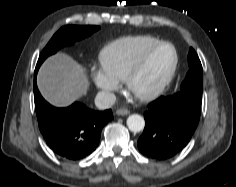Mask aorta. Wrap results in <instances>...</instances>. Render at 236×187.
Segmentation results:
<instances>
[{
  "mask_svg": "<svg viewBox=\"0 0 236 187\" xmlns=\"http://www.w3.org/2000/svg\"><path fill=\"white\" fill-rule=\"evenodd\" d=\"M127 126L132 132H140L145 126L144 118L141 115L132 114L127 118Z\"/></svg>",
  "mask_w": 236,
  "mask_h": 187,
  "instance_id": "762f6f07",
  "label": "aorta"
}]
</instances>
